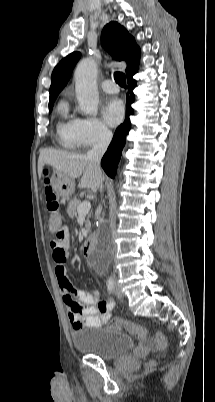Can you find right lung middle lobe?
Wrapping results in <instances>:
<instances>
[{
    "instance_id": "right-lung-middle-lobe-1",
    "label": "right lung middle lobe",
    "mask_w": 215,
    "mask_h": 402,
    "mask_svg": "<svg viewBox=\"0 0 215 402\" xmlns=\"http://www.w3.org/2000/svg\"><path fill=\"white\" fill-rule=\"evenodd\" d=\"M55 99H56V98H52V99L49 100V111L52 110V107H53V104H54Z\"/></svg>"
}]
</instances>
